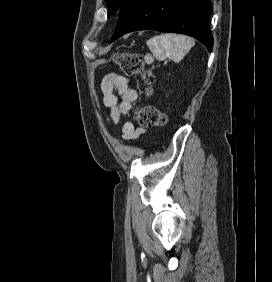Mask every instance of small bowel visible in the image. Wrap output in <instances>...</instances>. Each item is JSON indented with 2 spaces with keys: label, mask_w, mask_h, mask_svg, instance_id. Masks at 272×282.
<instances>
[{
  "label": "small bowel",
  "mask_w": 272,
  "mask_h": 282,
  "mask_svg": "<svg viewBox=\"0 0 272 282\" xmlns=\"http://www.w3.org/2000/svg\"><path fill=\"white\" fill-rule=\"evenodd\" d=\"M103 103L109 109L107 120L121 125L122 137L126 140L137 138L145 128H136L126 120L132 104L137 99L136 89L130 87V79L122 74L109 73L102 82Z\"/></svg>",
  "instance_id": "small-bowel-1"
}]
</instances>
